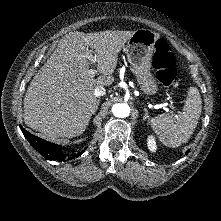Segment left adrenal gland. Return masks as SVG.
I'll use <instances>...</instances> for the list:
<instances>
[{
	"label": "left adrenal gland",
	"instance_id": "1",
	"mask_svg": "<svg viewBox=\"0 0 221 221\" xmlns=\"http://www.w3.org/2000/svg\"><path fill=\"white\" fill-rule=\"evenodd\" d=\"M144 111H145V114H144L143 120L145 121L146 119H149V114H148L147 108H144Z\"/></svg>",
	"mask_w": 221,
	"mask_h": 221
}]
</instances>
